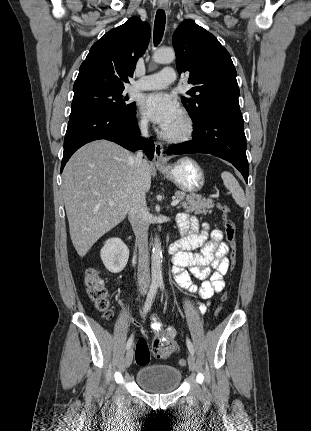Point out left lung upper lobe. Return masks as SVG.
<instances>
[{
  "label": "left lung upper lobe",
  "mask_w": 311,
  "mask_h": 431,
  "mask_svg": "<svg viewBox=\"0 0 311 431\" xmlns=\"http://www.w3.org/2000/svg\"><path fill=\"white\" fill-rule=\"evenodd\" d=\"M178 72H190L193 87L181 97L193 123L212 112L239 108L236 69L228 51L214 35L192 20L183 21L173 34Z\"/></svg>",
  "instance_id": "5c2ea615"
}]
</instances>
